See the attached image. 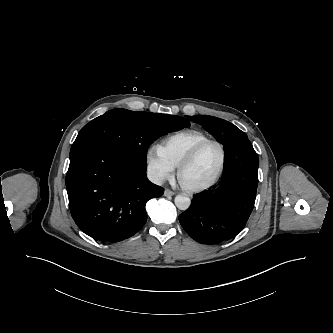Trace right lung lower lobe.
Segmentation results:
<instances>
[{"mask_svg":"<svg viewBox=\"0 0 333 333\" xmlns=\"http://www.w3.org/2000/svg\"><path fill=\"white\" fill-rule=\"evenodd\" d=\"M69 157L66 187L78 227L107 242L138 232L147 220L146 202L164 193L147 179V165L93 142L71 147Z\"/></svg>","mask_w":333,"mask_h":333,"instance_id":"1","label":"right lung lower lobe"}]
</instances>
